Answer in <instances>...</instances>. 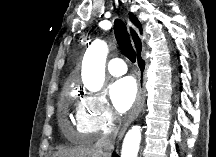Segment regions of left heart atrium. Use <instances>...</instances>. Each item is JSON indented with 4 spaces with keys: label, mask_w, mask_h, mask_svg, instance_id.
<instances>
[{
    "label": "left heart atrium",
    "mask_w": 216,
    "mask_h": 157,
    "mask_svg": "<svg viewBox=\"0 0 216 157\" xmlns=\"http://www.w3.org/2000/svg\"><path fill=\"white\" fill-rule=\"evenodd\" d=\"M109 95L118 112H127L135 102L137 96V87L134 79L125 77L115 81L110 86Z\"/></svg>",
    "instance_id": "1"
}]
</instances>
